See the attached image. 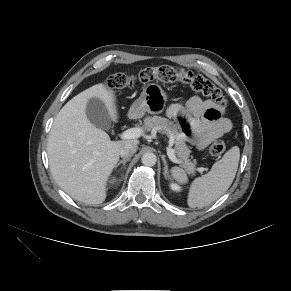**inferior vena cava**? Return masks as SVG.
Instances as JSON below:
<instances>
[{
  "mask_svg": "<svg viewBox=\"0 0 291 291\" xmlns=\"http://www.w3.org/2000/svg\"><path fill=\"white\" fill-rule=\"evenodd\" d=\"M137 148H138V146L136 144L128 143L120 150V155L124 159L129 158L136 153Z\"/></svg>",
  "mask_w": 291,
  "mask_h": 291,
  "instance_id": "1",
  "label": "inferior vena cava"
}]
</instances>
